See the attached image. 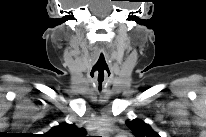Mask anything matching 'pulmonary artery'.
I'll use <instances>...</instances> for the list:
<instances>
[{
	"label": "pulmonary artery",
	"instance_id": "e3ab8cb5",
	"mask_svg": "<svg viewBox=\"0 0 206 137\" xmlns=\"http://www.w3.org/2000/svg\"><path fill=\"white\" fill-rule=\"evenodd\" d=\"M116 137H126L124 134H118Z\"/></svg>",
	"mask_w": 206,
	"mask_h": 137
}]
</instances>
